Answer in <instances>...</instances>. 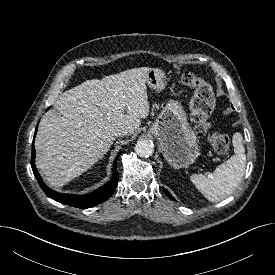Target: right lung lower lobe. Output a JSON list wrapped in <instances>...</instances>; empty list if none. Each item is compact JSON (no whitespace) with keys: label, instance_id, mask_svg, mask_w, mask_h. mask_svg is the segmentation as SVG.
Returning <instances> with one entry per match:
<instances>
[{"label":"right lung lower lobe","instance_id":"98d812e1","mask_svg":"<svg viewBox=\"0 0 275 275\" xmlns=\"http://www.w3.org/2000/svg\"><path fill=\"white\" fill-rule=\"evenodd\" d=\"M36 132H37V127L35 130L34 138H35ZM119 156H120V154H118V156L116 157L114 164H113L112 179L107 184L98 188L97 190H95L94 192H92L91 194H88V195L62 194V193H58L56 191L51 190L43 182L41 176L39 175V172L37 171V169L35 167L34 141L32 142L31 167H32L34 176L36 177L40 187L42 188V190L48 197L56 200L57 202H60V203H63V204L69 205V206L86 209V208H90V207H93V206L103 203L108 198H110L111 195L113 194V192L115 191L117 183H118V172H117L116 163H117V159Z\"/></svg>","mask_w":275,"mask_h":275}]
</instances>
